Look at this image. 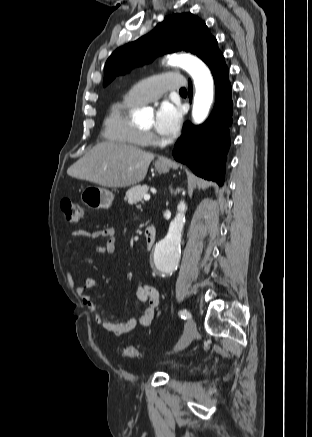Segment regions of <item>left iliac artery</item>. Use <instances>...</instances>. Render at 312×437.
Returning a JSON list of instances; mask_svg holds the SVG:
<instances>
[{
    "instance_id": "44dca946",
    "label": "left iliac artery",
    "mask_w": 312,
    "mask_h": 437,
    "mask_svg": "<svg viewBox=\"0 0 312 437\" xmlns=\"http://www.w3.org/2000/svg\"><path fill=\"white\" fill-rule=\"evenodd\" d=\"M179 316H180L182 319H185V320H186V319H189V318L191 317L190 313H189L187 310H185V309L179 311Z\"/></svg>"
}]
</instances>
